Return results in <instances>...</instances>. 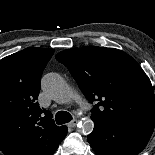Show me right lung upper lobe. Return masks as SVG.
<instances>
[{
    "label": "right lung upper lobe",
    "instance_id": "1",
    "mask_svg": "<svg viewBox=\"0 0 155 155\" xmlns=\"http://www.w3.org/2000/svg\"><path fill=\"white\" fill-rule=\"evenodd\" d=\"M53 52L32 47L0 60V150L5 155H52L67 134V127H57L36 101Z\"/></svg>",
    "mask_w": 155,
    "mask_h": 155
}]
</instances>
